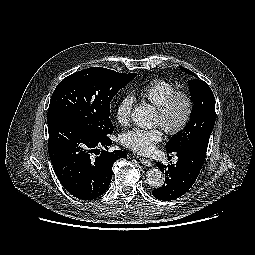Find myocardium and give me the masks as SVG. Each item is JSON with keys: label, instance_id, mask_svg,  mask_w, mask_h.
<instances>
[{"label": "myocardium", "instance_id": "f54148a6", "mask_svg": "<svg viewBox=\"0 0 255 255\" xmlns=\"http://www.w3.org/2000/svg\"><path fill=\"white\" fill-rule=\"evenodd\" d=\"M185 103V111L181 119L177 122L171 120L172 111L178 101ZM194 112V99L191 93L184 90L173 92L160 106L157 107V113L160 117V125L169 135H178L182 133L189 125Z\"/></svg>", "mask_w": 255, "mask_h": 255}]
</instances>
